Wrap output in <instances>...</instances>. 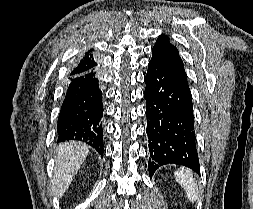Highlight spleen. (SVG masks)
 <instances>
[{"mask_svg":"<svg viewBox=\"0 0 253 209\" xmlns=\"http://www.w3.org/2000/svg\"><path fill=\"white\" fill-rule=\"evenodd\" d=\"M176 181L187 193V197L191 202H195L197 199L198 189L197 183L193 178V174L190 170L180 169L175 173Z\"/></svg>","mask_w":253,"mask_h":209,"instance_id":"spleen-1","label":"spleen"}]
</instances>
